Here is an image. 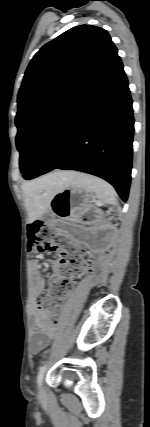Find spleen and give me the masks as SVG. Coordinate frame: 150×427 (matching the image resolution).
<instances>
[{"mask_svg":"<svg viewBox=\"0 0 150 427\" xmlns=\"http://www.w3.org/2000/svg\"><path fill=\"white\" fill-rule=\"evenodd\" d=\"M73 183L91 193L92 197L98 200V205L110 204L118 206L116 191L106 181L88 174L77 173Z\"/></svg>","mask_w":150,"mask_h":427,"instance_id":"spleen-1","label":"spleen"}]
</instances>
